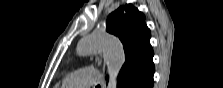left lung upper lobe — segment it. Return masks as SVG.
Segmentation results:
<instances>
[{"mask_svg": "<svg viewBox=\"0 0 223 88\" xmlns=\"http://www.w3.org/2000/svg\"><path fill=\"white\" fill-rule=\"evenodd\" d=\"M106 31L117 36L123 43L125 63L118 76L120 80L132 71H139L153 61L150 30L145 16L132 4L119 7L106 21Z\"/></svg>", "mask_w": 223, "mask_h": 88, "instance_id": "left-lung-upper-lobe-1", "label": "left lung upper lobe"}]
</instances>
